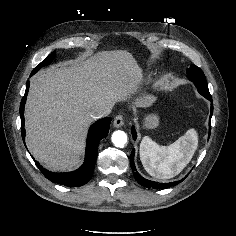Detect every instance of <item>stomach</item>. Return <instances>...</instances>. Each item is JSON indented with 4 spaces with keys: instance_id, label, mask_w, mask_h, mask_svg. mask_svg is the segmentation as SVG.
I'll list each match as a JSON object with an SVG mask.
<instances>
[{
    "instance_id": "obj_1",
    "label": "stomach",
    "mask_w": 236,
    "mask_h": 236,
    "mask_svg": "<svg viewBox=\"0 0 236 236\" xmlns=\"http://www.w3.org/2000/svg\"><path fill=\"white\" fill-rule=\"evenodd\" d=\"M159 125V117L157 114H149L144 118L143 128L155 129Z\"/></svg>"
}]
</instances>
